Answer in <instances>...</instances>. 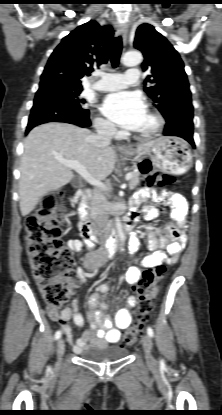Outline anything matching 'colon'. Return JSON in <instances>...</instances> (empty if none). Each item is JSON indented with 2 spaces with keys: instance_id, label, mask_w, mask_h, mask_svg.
Returning <instances> with one entry per match:
<instances>
[{
  "instance_id": "5ec220e1",
  "label": "colon",
  "mask_w": 222,
  "mask_h": 415,
  "mask_svg": "<svg viewBox=\"0 0 222 415\" xmlns=\"http://www.w3.org/2000/svg\"><path fill=\"white\" fill-rule=\"evenodd\" d=\"M141 170L146 176V186L149 188L175 184L174 177L160 174L148 164H142ZM57 197L53 193L45 195L40 207L28 216L25 225L26 250L33 276L45 302L56 309L66 303L74 288V258L61 239L62 217L56 214ZM164 273L163 266L142 272L136 285L139 295L136 324L124 334L123 345L133 344L142 333L153 310L155 286Z\"/></svg>"
}]
</instances>
